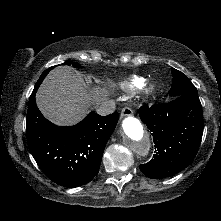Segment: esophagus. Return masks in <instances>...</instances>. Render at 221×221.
<instances>
[{
  "label": "esophagus",
  "instance_id": "1",
  "mask_svg": "<svg viewBox=\"0 0 221 221\" xmlns=\"http://www.w3.org/2000/svg\"><path fill=\"white\" fill-rule=\"evenodd\" d=\"M133 114V111L131 108L129 107H124L122 110H121V114H120V118H124V117H127V116H131Z\"/></svg>",
  "mask_w": 221,
  "mask_h": 221
}]
</instances>
